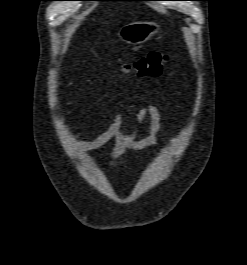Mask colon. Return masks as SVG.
Returning <instances> with one entry per match:
<instances>
[{
    "label": "colon",
    "instance_id": "obj_1",
    "mask_svg": "<svg viewBox=\"0 0 247 265\" xmlns=\"http://www.w3.org/2000/svg\"><path fill=\"white\" fill-rule=\"evenodd\" d=\"M168 56L164 53L151 51L148 54L125 64L122 71L125 74L134 73L141 78L157 77L161 75Z\"/></svg>",
    "mask_w": 247,
    "mask_h": 265
}]
</instances>
